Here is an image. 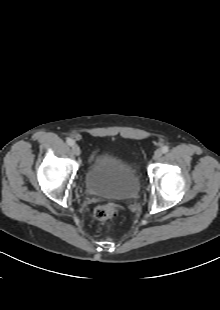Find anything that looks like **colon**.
I'll return each mask as SVG.
<instances>
[{"label":"colon","mask_w":220,"mask_h":310,"mask_svg":"<svg viewBox=\"0 0 220 310\" xmlns=\"http://www.w3.org/2000/svg\"><path fill=\"white\" fill-rule=\"evenodd\" d=\"M117 214V206L114 203L99 205L94 210V216L99 220H109Z\"/></svg>","instance_id":"colon-1"}]
</instances>
